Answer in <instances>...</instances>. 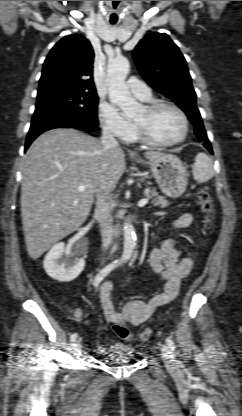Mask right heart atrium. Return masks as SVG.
<instances>
[{"mask_svg": "<svg viewBox=\"0 0 242 416\" xmlns=\"http://www.w3.org/2000/svg\"><path fill=\"white\" fill-rule=\"evenodd\" d=\"M99 120L106 133L120 140H128L133 134L131 122L110 103L99 104Z\"/></svg>", "mask_w": 242, "mask_h": 416, "instance_id": "obj_1", "label": "right heart atrium"}]
</instances>
